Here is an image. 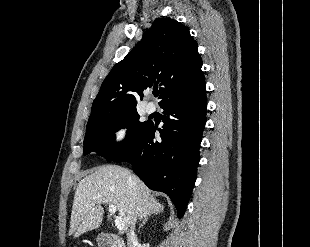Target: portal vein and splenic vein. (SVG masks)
<instances>
[{
	"instance_id": "portal-vein-and-splenic-vein-1",
	"label": "portal vein and splenic vein",
	"mask_w": 310,
	"mask_h": 247,
	"mask_svg": "<svg viewBox=\"0 0 310 247\" xmlns=\"http://www.w3.org/2000/svg\"><path fill=\"white\" fill-rule=\"evenodd\" d=\"M108 211L111 215H114L116 213V206L113 204H110ZM114 222H115V226L117 227V229L124 230L125 224L121 216H116Z\"/></svg>"
}]
</instances>
